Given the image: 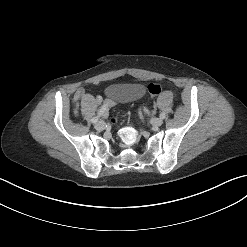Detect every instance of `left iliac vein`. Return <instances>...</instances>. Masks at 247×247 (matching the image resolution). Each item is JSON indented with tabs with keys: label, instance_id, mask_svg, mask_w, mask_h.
I'll return each mask as SVG.
<instances>
[{
	"label": "left iliac vein",
	"instance_id": "obj_1",
	"mask_svg": "<svg viewBox=\"0 0 247 247\" xmlns=\"http://www.w3.org/2000/svg\"><path fill=\"white\" fill-rule=\"evenodd\" d=\"M162 123H163L162 118L156 117V118H153V119L151 120V124H152L154 127H158V126H160Z\"/></svg>",
	"mask_w": 247,
	"mask_h": 247
}]
</instances>
